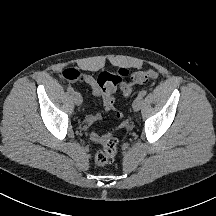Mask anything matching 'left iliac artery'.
Here are the masks:
<instances>
[{"instance_id": "1", "label": "left iliac artery", "mask_w": 216, "mask_h": 216, "mask_svg": "<svg viewBox=\"0 0 216 216\" xmlns=\"http://www.w3.org/2000/svg\"><path fill=\"white\" fill-rule=\"evenodd\" d=\"M146 94H147V91L146 90H142V91L139 92L138 98L142 99Z\"/></svg>"}]
</instances>
